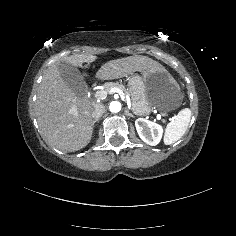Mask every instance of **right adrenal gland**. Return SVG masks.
Segmentation results:
<instances>
[{"instance_id":"2a0ac1e0","label":"right adrenal gland","mask_w":236,"mask_h":236,"mask_svg":"<svg viewBox=\"0 0 236 236\" xmlns=\"http://www.w3.org/2000/svg\"><path fill=\"white\" fill-rule=\"evenodd\" d=\"M96 122H98V120H97V119H94V120L92 121V124L94 125Z\"/></svg>"}]
</instances>
